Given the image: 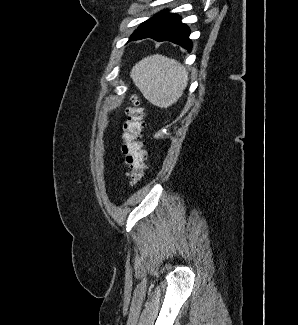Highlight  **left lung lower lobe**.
I'll return each mask as SVG.
<instances>
[{"label": "left lung lower lobe", "mask_w": 298, "mask_h": 325, "mask_svg": "<svg viewBox=\"0 0 298 325\" xmlns=\"http://www.w3.org/2000/svg\"><path fill=\"white\" fill-rule=\"evenodd\" d=\"M189 33L188 26L181 23L180 16L164 10L142 23L130 36V40L153 38L159 42L171 41L190 52L192 42L189 39Z\"/></svg>", "instance_id": "1"}]
</instances>
